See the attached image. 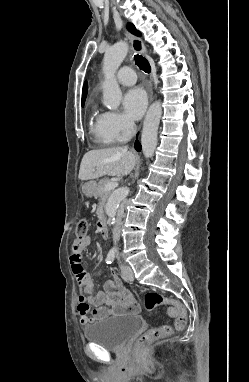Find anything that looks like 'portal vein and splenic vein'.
I'll list each match as a JSON object with an SVG mask.
<instances>
[{
	"mask_svg": "<svg viewBox=\"0 0 249 382\" xmlns=\"http://www.w3.org/2000/svg\"><path fill=\"white\" fill-rule=\"evenodd\" d=\"M118 186V182L110 181L105 185V190L110 191L112 189H115Z\"/></svg>",
	"mask_w": 249,
	"mask_h": 382,
	"instance_id": "18ae733b",
	"label": "portal vein and splenic vein"
}]
</instances>
